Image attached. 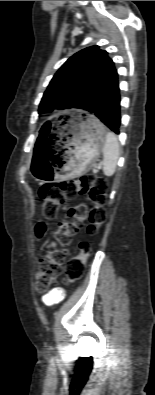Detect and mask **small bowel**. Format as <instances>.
<instances>
[{"label": "small bowel", "instance_id": "c3829d8e", "mask_svg": "<svg viewBox=\"0 0 155 395\" xmlns=\"http://www.w3.org/2000/svg\"><path fill=\"white\" fill-rule=\"evenodd\" d=\"M51 246L54 247L55 243H51ZM64 297V292L62 289L57 288L53 289L42 297V301L47 306H52L58 302H60Z\"/></svg>", "mask_w": 155, "mask_h": 395}]
</instances>
